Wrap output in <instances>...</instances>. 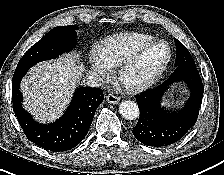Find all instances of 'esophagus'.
Instances as JSON below:
<instances>
[{
  "label": "esophagus",
  "mask_w": 224,
  "mask_h": 175,
  "mask_svg": "<svg viewBox=\"0 0 224 175\" xmlns=\"http://www.w3.org/2000/svg\"><path fill=\"white\" fill-rule=\"evenodd\" d=\"M106 100L108 103L110 104H117L119 103L120 101V98L114 94H109L107 97H106Z\"/></svg>",
  "instance_id": "obj_1"
}]
</instances>
